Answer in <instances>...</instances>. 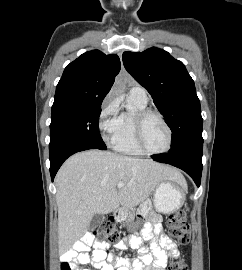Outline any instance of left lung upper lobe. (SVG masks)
Masks as SVG:
<instances>
[{
  "label": "left lung upper lobe",
  "mask_w": 242,
  "mask_h": 270,
  "mask_svg": "<svg viewBox=\"0 0 242 270\" xmlns=\"http://www.w3.org/2000/svg\"><path fill=\"white\" fill-rule=\"evenodd\" d=\"M122 57L126 70L151 94L172 131L169 153L202 143L200 101L184 64L156 47L124 52Z\"/></svg>",
  "instance_id": "left-lung-upper-lobe-1"
}]
</instances>
